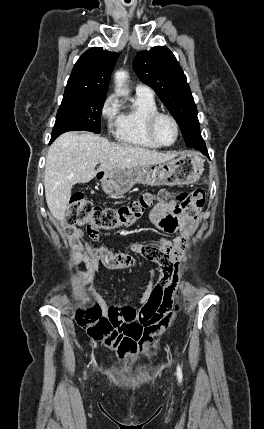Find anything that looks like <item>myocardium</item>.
Returning <instances> with one entry per match:
<instances>
[{
	"mask_svg": "<svg viewBox=\"0 0 264 429\" xmlns=\"http://www.w3.org/2000/svg\"><path fill=\"white\" fill-rule=\"evenodd\" d=\"M160 118H167V119H169V120L173 123V125H174V128H175V138H174V140H173L171 143H169V144L162 143V142L157 138V136H156V133H155V126H156L157 121H158ZM146 133H147L148 137L150 138V140H151L153 143H155L156 145H158L159 147H170V146L174 145V144L177 142V140H178V138H179V134H180V128H179L178 121L176 120V118H175L173 115H171V114H169V113H166V112L156 111V112H154L153 114H151V115L147 118V121H146Z\"/></svg>",
	"mask_w": 264,
	"mask_h": 429,
	"instance_id": "obj_1",
	"label": "myocardium"
}]
</instances>
